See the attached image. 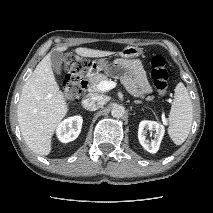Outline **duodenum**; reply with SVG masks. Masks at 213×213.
Masks as SVG:
<instances>
[{
  "mask_svg": "<svg viewBox=\"0 0 213 213\" xmlns=\"http://www.w3.org/2000/svg\"><path fill=\"white\" fill-rule=\"evenodd\" d=\"M83 87H84V91H86V89L88 87V80H87V78H85L84 81H83Z\"/></svg>",
  "mask_w": 213,
  "mask_h": 213,
  "instance_id": "410a0bca",
  "label": "duodenum"
}]
</instances>
